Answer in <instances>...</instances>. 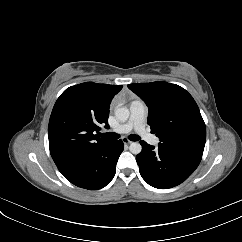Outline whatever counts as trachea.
Instances as JSON below:
<instances>
[{"label":"trachea","instance_id":"trachea-1","mask_svg":"<svg viewBox=\"0 0 242 242\" xmlns=\"http://www.w3.org/2000/svg\"><path fill=\"white\" fill-rule=\"evenodd\" d=\"M100 136L102 138H105V139H108V140H116V139L120 138V135H118L117 133H114V132L103 133ZM129 139L131 141H138V140H140V137L138 135L131 134L129 136Z\"/></svg>","mask_w":242,"mask_h":242}]
</instances>
